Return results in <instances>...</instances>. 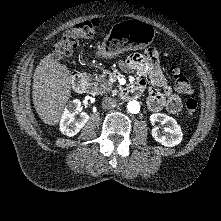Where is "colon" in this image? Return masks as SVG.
Here are the masks:
<instances>
[{
    "label": "colon",
    "mask_w": 221,
    "mask_h": 221,
    "mask_svg": "<svg viewBox=\"0 0 221 221\" xmlns=\"http://www.w3.org/2000/svg\"><path fill=\"white\" fill-rule=\"evenodd\" d=\"M98 27L99 21L97 19H88L76 24L70 30L65 31L54 47L53 57L61 60L71 56L74 49L82 40L91 38L96 34ZM147 55L153 62L157 61L159 58V54L155 50H148ZM170 70L175 86L179 92L185 95H191L193 87L181 69L176 65H172ZM197 108V100L194 97L189 96L185 101L186 116L192 118L195 115Z\"/></svg>",
    "instance_id": "obj_1"
}]
</instances>
